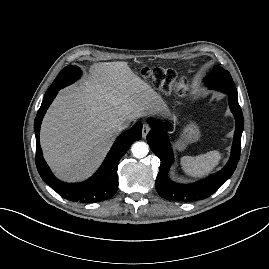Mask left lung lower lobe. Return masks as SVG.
Listing matches in <instances>:
<instances>
[{"mask_svg": "<svg viewBox=\"0 0 269 269\" xmlns=\"http://www.w3.org/2000/svg\"><path fill=\"white\" fill-rule=\"evenodd\" d=\"M226 94L229 96V106L236 120L231 157L221 171L197 183L182 185L169 180L168 171L174 157L167 133L163 130L164 126L157 120H148L153 129L148 133L146 139L151 150L161 161L160 170L155 182L156 190L161 197L167 200L190 202L205 199L216 192L235 171L240 157L244 119L237 95L233 93Z\"/></svg>", "mask_w": 269, "mask_h": 269, "instance_id": "0a47b994", "label": "left lung lower lobe"}]
</instances>
